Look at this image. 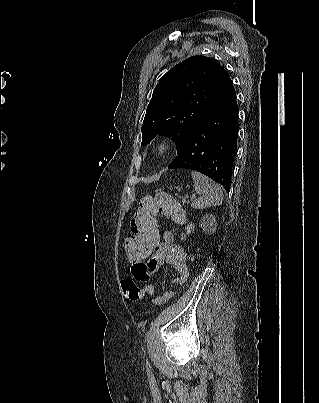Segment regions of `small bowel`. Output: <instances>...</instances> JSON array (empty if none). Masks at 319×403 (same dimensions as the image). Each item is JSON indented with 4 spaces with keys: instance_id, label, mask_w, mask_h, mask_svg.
Instances as JSON below:
<instances>
[{
    "instance_id": "obj_1",
    "label": "small bowel",
    "mask_w": 319,
    "mask_h": 403,
    "mask_svg": "<svg viewBox=\"0 0 319 403\" xmlns=\"http://www.w3.org/2000/svg\"><path fill=\"white\" fill-rule=\"evenodd\" d=\"M162 241L159 240L158 247H154L150 263L140 259L135 264L129 265V280L132 283H145L150 275L157 272L164 263L170 264L178 274L172 278L173 281L182 283L188 276L187 257L185 250L174 243L173 234L170 231L162 233ZM172 297V292L167 290L161 296L153 300L154 304H164Z\"/></svg>"
}]
</instances>
